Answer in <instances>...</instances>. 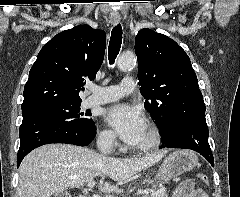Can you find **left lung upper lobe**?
Wrapping results in <instances>:
<instances>
[{"mask_svg":"<svg viewBox=\"0 0 240 197\" xmlns=\"http://www.w3.org/2000/svg\"><path fill=\"white\" fill-rule=\"evenodd\" d=\"M138 76L153 120L179 114L191 99H203L186 52L171 38L143 28L136 35Z\"/></svg>","mask_w":240,"mask_h":197,"instance_id":"1","label":"left lung upper lobe"}]
</instances>
